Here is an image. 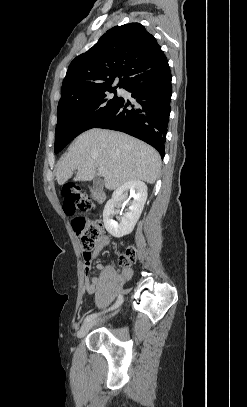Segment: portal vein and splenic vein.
Returning <instances> with one entry per match:
<instances>
[{
  "mask_svg": "<svg viewBox=\"0 0 247 407\" xmlns=\"http://www.w3.org/2000/svg\"><path fill=\"white\" fill-rule=\"evenodd\" d=\"M98 171H99V175H102L104 173L102 168H99Z\"/></svg>",
  "mask_w": 247,
  "mask_h": 407,
  "instance_id": "portal-vein-and-splenic-vein-1",
  "label": "portal vein and splenic vein"
}]
</instances>
